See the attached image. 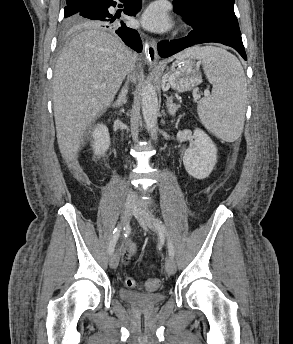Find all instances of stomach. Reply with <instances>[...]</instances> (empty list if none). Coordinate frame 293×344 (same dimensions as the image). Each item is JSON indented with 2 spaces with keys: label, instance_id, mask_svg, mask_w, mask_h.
Returning a JSON list of instances; mask_svg holds the SVG:
<instances>
[{
  "label": "stomach",
  "instance_id": "1",
  "mask_svg": "<svg viewBox=\"0 0 293 344\" xmlns=\"http://www.w3.org/2000/svg\"><path fill=\"white\" fill-rule=\"evenodd\" d=\"M164 79L178 92L190 91L202 82L200 65L190 57L178 56Z\"/></svg>",
  "mask_w": 293,
  "mask_h": 344
}]
</instances>
